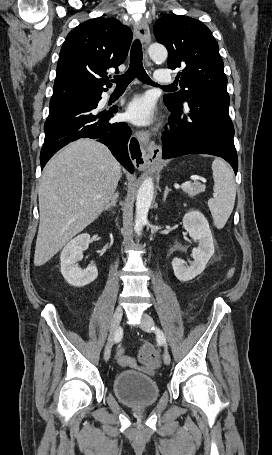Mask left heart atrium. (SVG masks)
Masks as SVG:
<instances>
[{
  "instance_id": "39dd6f15",
  "label": "left heart atrium",
  "mask_w": 272,
  "mask_h": 455,
  "mask_svg": "<svg viewBox=\"0 0 272 455\" xmlns=\"http://www.w3.org/2000/svg\"><path fill=\"white\" fill-rule=\"evenodd\" d=\"M154 113V104L145 95L135 97L126 108L127 118L137 125H146L152 122Z\"/></svg>"
}]
</instances>
